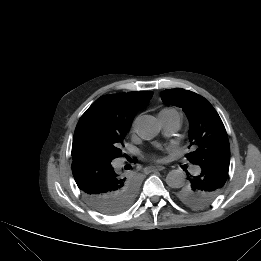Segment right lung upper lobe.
Here are the masks:
<instances>
[{
    "label": "right lung upper lobe",
    "instance_id": "1",
    "mask_svg": "<svg viewBox=\"0 0 261 261\" xmlns=\"http://www.w3.org/2000/svg\"><path fill=\"white\" fill-rule=\"evenodd\" d=\"M152 95L153 92L145 91L101 96L85 114L95 116L105 123L129 129L137 111L150 101Z\"/></svg>",
    "mask_w": 261,
    "mask_h": 261
}]
</instances>
